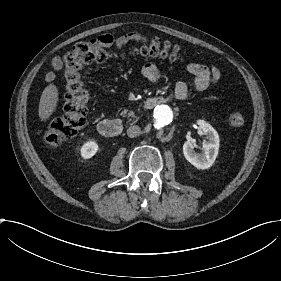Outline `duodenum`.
<instances>
[{
	"label": "duodenum",
	"mask_w": 281,
	"mask_h": 281,
	"mask_svg": "<svg viewBox=\"0 0 281 281\" xmlns=\"http://www.w3.org/2000/svg\"><path fill=\"white\" fill-rule=\"evenodd\" d=\"M167 102V99L160 96L147 98L143 106L146 109H152L157 105H161ZM123 130V124L117 119H105L98 123V131L106 137L118 136Z\"/></svg>",
	"instance_id": "1"
}]
</instances>
